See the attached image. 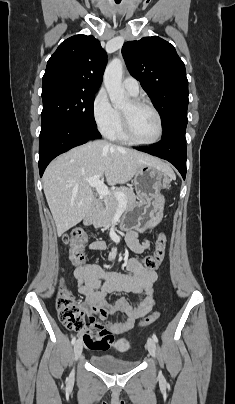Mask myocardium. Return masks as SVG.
<instances>
[{
  "label": "myocardium",
  "mask_w": 235,
  "mask_h": 404,
  "mask_svg": "<svg viewBox=\"0 0 235 404\" xmlns=\"http://www.w3.org/2000/svg\"><path fill=\"white\" fill-rule=\"evenodd\" d=\"M130 103L133 108L146 107L155 114L157 121H158V134H157L156 138L152 141L144 142V141L137 140L131 131L129 115L127 113L121 111L120 115H121L122 130H123V134L126 137V139L135 145H141V146H149V145H154V144L158 143L161 140V138L163 136V131H164L163 120H162L160 112L157 110V108L154 105H152L151 103H149L143 99L134 98L130 101Z\"/></svg>",
  "instance_id": "f54148a6"
}]
</instances>
